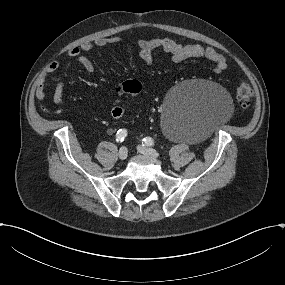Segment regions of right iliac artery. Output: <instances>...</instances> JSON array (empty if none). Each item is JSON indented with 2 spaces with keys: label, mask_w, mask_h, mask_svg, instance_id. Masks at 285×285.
<instances>
[{
  "label": "right iliac artery",
  "mask_w": 285,
  "mask_h": 285,
  "mask_svg": "<svg viewBox=\"0 0 285 285\" xmlns=\"http://www.w3.org/2000/svg\"><path fill=\"white\" fill-rule=\"evenodd\" d=\"M127 136V130L126 129H120L118 130L117 134H116V141L117 142H123L124 139Z\"/></svg>",
  "instance_id": "obj_1"
}]
</instances>
